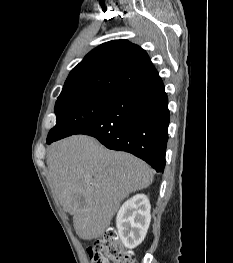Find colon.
Segmentation results:
<instances>
[{
  "label": "colon",
  "instance_id": "1",
  "mask_svg": "<svg viewBox=\"0 0 233 263\" xmlns=\"http://www.w3.org/2000/svg\"><path fill=\"white\" fill-rule=\"evenodd\" d=\"M93 263H136L134 252L126 248L114 230H107L88 250Z\"/></svg>",
  "mask_w": 233,
  "mask_h": 263
}]
</instances>
